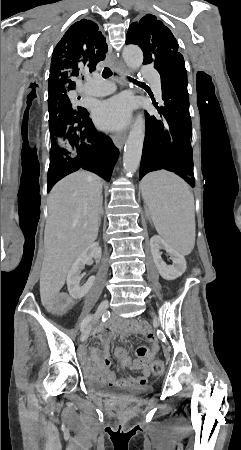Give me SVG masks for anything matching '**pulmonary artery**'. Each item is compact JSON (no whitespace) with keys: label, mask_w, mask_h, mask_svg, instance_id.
I'll list each match as a JSON object with an SVG mask.
<instances>
[{"label":"pulmonary artery","mask_w":241,"mask_h":450,"mask_svg":"<svg viewBox=\"0 0 241 450\" xmlns=\"http://www.w3.org/2000/svg\"><path fill=\"white\" fill-rule=\"evenodd\" d=\"M140 78L145 81V84H150L154 89V95H161L162 83L159 81L158 71H142ZM87 85L92 92H110L112 90V85L105 78H88Z\"/></svg>","instance_id":"obj_1"}]
</instances>
